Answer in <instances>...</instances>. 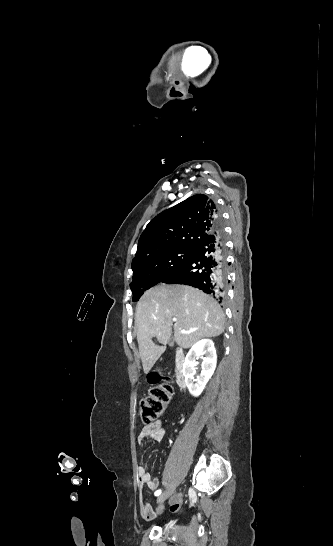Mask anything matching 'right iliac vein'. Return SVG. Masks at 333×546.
<instances>
[{
  "instance_id": "right-iliac-vein-1",
  "label": "right iliac vein",
  "mask_w": 333,
  "mask_h": 546,
  "mask_svg": "<svg viewBox=\"0 0 333 546\" xmlns=\"http://www.w3.org/2000/svg\"><path fill=\"white\" fill-rule=\"evenodd\" d=\"M174 489L175 487L172 486L169 489H167L164 493H162L160 496H158L157 503H163L174 492Z\"/></svg>"
}]
</instances>
